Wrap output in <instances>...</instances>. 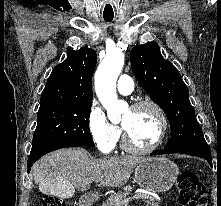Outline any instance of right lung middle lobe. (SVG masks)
Segmentation results:
<instances>
[{
	"mask_svg": "<svg viewBox=\"0 0 221 206\" xmlns=\"http://www.w3.org/2000/svg\"><path fill=\"white\" fill-rule=\"evenodd\" d=\"M91 105L40 108L30 155L66 145L94 146L88 122Z\"/></svg>",
	"mask_w": 221,
	"mask_h": 206,
	"instance_id": "obj_1",
	"label": "right lung middle lobe"
}]
</instances>
